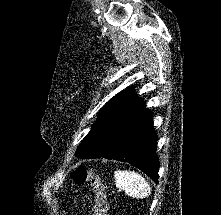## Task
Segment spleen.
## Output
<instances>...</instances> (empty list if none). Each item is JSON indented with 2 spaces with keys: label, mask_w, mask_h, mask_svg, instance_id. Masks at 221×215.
I'll return each instance as SVG.
<instances>
[{
  "label": "spleen",
  "mask_w": 221,
  "mask_h": 215,
  "mask_svg": "<svg viewBox=\"0 0 221 215\" xmlns=\"http://www.w3.org/2000/svg\"><path fill=\"white\" fill-rule=\"evenodd\" d=\"M116 186L134 198H145L150 194V186L137 172L117 170L114 174Z\"/></svg>",
  "instance_id": "1"
}]
</instances>
